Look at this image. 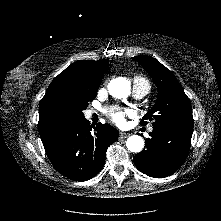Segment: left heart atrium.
<instances>
[{"label": "left heart atrium", "instance_id": "1", "mask_svg": "<svg viewBox=\"0 0 221 221\" xmlns=\"http://www.w3.org/2000/svg\"><path fill=\"white\" fill-rule=\"evenodd\" d=\"M130 115H132V112L129 110L114 111L110 113V117L118 126H123L125 124V117Z\"/></svg>", "mask_w": 221, "mask_h": 221}]
</instances>
